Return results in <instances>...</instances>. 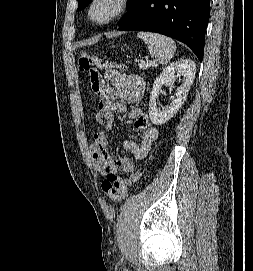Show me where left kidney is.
Masks as SVG:
<instances>
[{
  "mask_svg": "<svg viewBox=\"0 0 253 271\" xmlns=\"http://www.w3.org/2000/svg\"><path fill=\"white\" fill-rule=\"evenodd\" d=\"M196 74V65L191 60H179L168 67L155 79L149 100V117L153 124L162 125L171 119L182 107ZM183 76L182 84L177 87V95L173 102L163 108H157V98L161 87L172 85L176 77Z\"/></svg>",
  "mask_w": 253,
  "mask_h": 271,
  "instance_id": "5707ae66",
  "label": "left kidney"
}]
</instances>
